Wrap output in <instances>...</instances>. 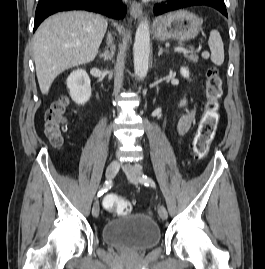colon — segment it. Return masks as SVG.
<instances>
[{"label": "colon", "instance_id": "1", "mask_svg": "<svg viewBox=\"0 0 265 269\" xmlns=\"http://www.w3.org/2000/svg\"><path fill=\"white\" fill-rule=\"evenodd\" d=\"M222 95V79L215 67L206 71L205 101L198 128L193 140V153L198 159L203 158L209 151L214 140L219 123V100ZM69 101L61 98L54 102L45 115L44 131L46 137L54 145L63 142L66 129ZM103 205L109 212L127 214L131 202L117 194H109L104 198Z\"/></svg>", "mask_w": 265, "mask_h": 269}]
</instances>
